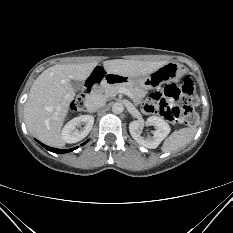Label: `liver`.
<instances>
[{
    "label": "liver",
    "instance_id": "liver-1",
    "mask_svg": "<svg viewBox=\"0 0 233 233\" xmlns=\"http://www.w3.org/2000/svg\"><path fill=\"white\" fill-rule=\"evenodd\" d=\"M166 63L115 59L104 61L103 68L109 74L137 78L151 74ZM97 64L54 65L36 78L24 106L25 123L30 133L47 145H64L61 129L75 97L70 82L85 81Z\"/></svg>",
    "mask_w": 233,
    "mask_h": 233
}]
</instances>
